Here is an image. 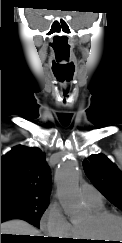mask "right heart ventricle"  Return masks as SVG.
<instances>
[{"instance_id": "right-heart-ventricle-1", "label": "right heart ventricle", "mask_w": 122, "mask_h": 243, "mask_svg": "<svg viewBox=\"0 0 122 243\" xmlns=\"http://www.w3.org/2000/svg\"><path fill=\"white\" fill-rule=\"evenodd\" d=\"M88 206L90 207V209H91V211L93 213H98V212L105 211L104 206H103V203L98 204V205H88ZM74 228H75V235L74 236L77 239H84V237H83V235L81 233L80 227L75 226Z\"/></svg>"}]
</instances>
